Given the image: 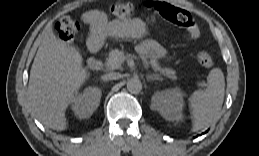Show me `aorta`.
I'll list each match as a JSON object with an SVG mask.
<instances>
[{"label":"aorta","instance_id":"762f6f07","mask_svg":"<svg viewBox=\"0 0 259 156\" xmlns=\"http://www.w3.org/2000/svg\"><path fill=\"white\" fill-rule=\"evenodd\" d=\"M127 90L132 94H138L142 90V83L137 78H132L127 82Z\"/></svg>","mask_w":259,"mask_h":156}]
</instances>
